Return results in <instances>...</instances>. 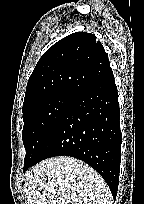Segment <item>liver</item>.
I'll use <instances>...</instances> for the list:
<instances>
[{"mask_svg":"<svg viewBox=\"0 0 144 204\" xmlns=\"http://www.w3.org/2000/svg\"><path fill=\"white\" fill-rule=\"evenodd\" d=\"M27 204H112L104 179L89 165L71 157L36 164L26 175Z\"/></svg>","mask_w":144,"mask_h":204,"instance_id":"1","label":"liver"}]
</instances>
